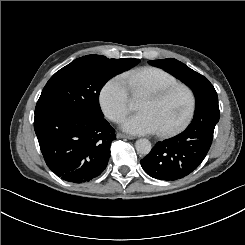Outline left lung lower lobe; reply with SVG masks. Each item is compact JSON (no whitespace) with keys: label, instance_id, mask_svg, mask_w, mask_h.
<instances>
[{"label":"left lung lower lobe","instance_id":"obj_1","mask_svg":"<svg viewBox=\"0 0 245 245\" xmlns=\"http://www.w3.org/2000/svg\"><path fill=\"white\" fill-rule=\"evenodd\" d=\"M195 115L181 134L157 142L140 163L151 177L165 181L182 179L192 173L205 158L220 118L218 96L212 84L195 95Z\"/></svg>","mask_w":245,"mask_h":245}]
</instances>
